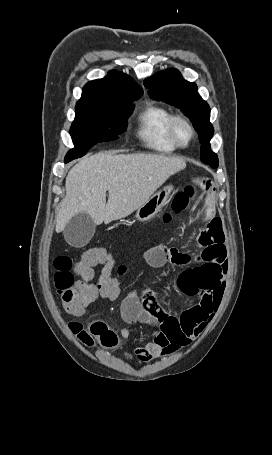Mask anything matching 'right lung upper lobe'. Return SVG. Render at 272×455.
<instances>
[{"label":"right lung upper lobe","instance_id":"obj_1","mask_svg":"<svg viewBox=\"0 0 272 455\" xmlns=\"http://www.w3.org/2000/svg\"><path fill=\"white\" fill-rule=\"evenodd\" d=\"M142 94V88L131 77L112 70L103 79L93 80L84 86L76 108H118Z\"/></svg>","mask_w":272,"mask_h":455}]
</instances>
